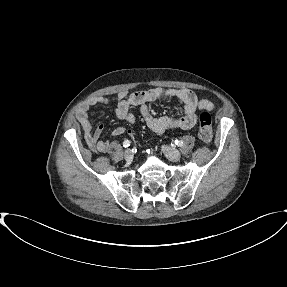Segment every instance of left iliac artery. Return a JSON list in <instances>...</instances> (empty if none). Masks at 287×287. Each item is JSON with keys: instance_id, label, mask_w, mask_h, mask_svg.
<instances>
[{"instance_id": "left-iliac-artery-1", "label": "left iliac artery", "mask_w": 287, "mask_h": 287, "mask_svg": "<svg viewBox=\"0 0 287 287\" xmlns=\"http://www.w3.org/2000/svg\"><path fill=\"white\" fill-rule=\"evenodd\" d=\"M174 144L177 145V146H179V147H181V146H183V141L176 139V140L174 141Z\"/></svg>"}]
</instances>
